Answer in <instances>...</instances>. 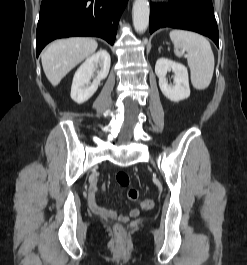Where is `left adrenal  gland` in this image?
I'll use <instances>...</instances> for the list:
<instances>
[{"instance_id": "1", "label": "left adrenal gland", "mask_w": 247, "mask_h": 265, "mask_svg": "<svg viewBox=\"0 0 247 265\" xmlns=\"http://www.w3.org/2000/svg\"><path fill=\"white\" fill-rule=\"evenodd\" d=\"M158 51H159V52L161 51V47H159Z\"/></svg>"}]
</instances>
